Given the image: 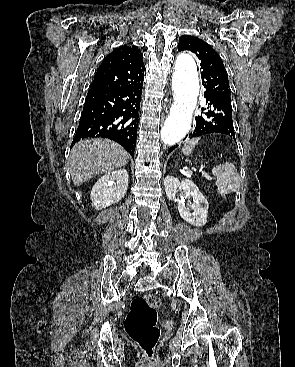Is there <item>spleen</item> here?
Here are the masks:
<instances>
[{
	"mask_svg": "<svg viewBox=\"0 0 295 367\" xmlns=\"http://www.w3.org/2000/svg\"><path fill=\"white\" fill-rule=\"evenodd\" d=\"M199 140L200 139L197 138L186 142L182 147V153L186 156L191 155ZM212 173L217 178L215 184L217 186V191L221 196L225 197L231 192H236L239 188L240 176L232 163L226 162L220 164L212 169Z\"/></svg>",
	"mask_w": 295,
	"mask_h": 367,
	"instance_id": "3e777b00",
	"label": "spleen"
}]
</instances>
